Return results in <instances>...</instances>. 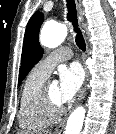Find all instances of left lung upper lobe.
Wrapping results in <instances>:
<instances>
[{"label": "left lung upper lobe", "instance_id": "5c2ea615", "mask_svg": "<svg viewBox=\"0 0 116 134\" xmlns=\"http://www.w3.org/2000/svg\"><path fill=\"white\" fill-rule=\"evenodd\" d=\"M43 20V13L36 12L27 24L22 50L19 84L43 55V49L41 48L38 40L39 30Z\"/></svg>", "mask_w": 116, "mask_h": 134}]
</instances>
